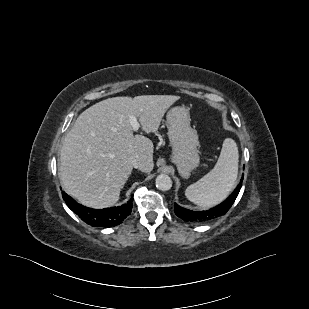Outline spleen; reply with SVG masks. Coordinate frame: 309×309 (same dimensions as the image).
<instances>
[{
  "label": "spleen",
  "instance_id": "3e777b00",
  "mask_svg": "<svg viewBox=\"0 0 309 309\" xmlns=\"http://www.w3.org/2000/svg\"><path fill=\"white\" fill-rule=\"evenodd\" d=\"M238 148L231 138L224 140L214 168L185 190V196L202 207H212L222 202L236 184L239 162Z\"/></svg>",
  "mask_w": 309,
  "mask_h": 309
}]
</instances>
